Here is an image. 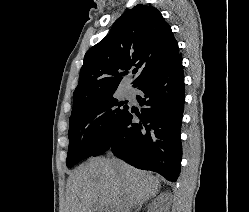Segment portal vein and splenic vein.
I'll list each match as a JSON object with an SVG mask.
<instances>
[{"mask_svg": "<svg viewBox=\"0 0 249 212\" xmlns=\"http://www.w3.org/2000/svg\"><path fill=\"white\" fill-rule=\"evenodd\" d=\"M97 206H100V204H97ZM100 208H101V206H100ZM105 212H112V210H110V208H105ZM113 212H114V210H113Z\"/></svg>", "mask_w": 249, "mask_h": 212, "instance_id": "obj_1", "label": "portal vein and splenic vein"}]
</instances>
